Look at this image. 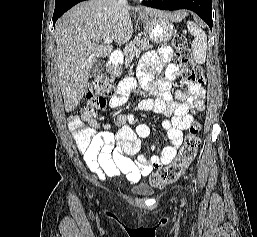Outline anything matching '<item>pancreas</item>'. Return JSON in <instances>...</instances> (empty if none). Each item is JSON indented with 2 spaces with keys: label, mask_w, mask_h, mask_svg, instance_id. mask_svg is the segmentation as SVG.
<instances>
[{
  "label": "pancreas",
  "mask_w": 257,
  "mask_h": 237,
  "mask_svg": "<svg viewBox=\"0 0 257 237\" xmlns=\"http://www.w3.org/2000/svg\"><path fill=\"white\" fill-rule=\"evenodd\" d=\"M153 45L146 39L136 38L126 45L124 49L125 60L131 62L135 56H138L142 51L152 49Z\"/></svg>",
  "instance_id": "pancreas-1"
}]
</instances>
